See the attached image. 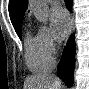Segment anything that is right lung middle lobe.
Listing matches in <instances>:
<instances>
[{
  "mask_svg": "<svg viewBox=\"0 0 89 89\" xmlns=\"http://www.w3.org/2000/svg\"><path fill=\"white\" fill-rule=\"evenodd\" d=\"M21 29H22V26H20V27L16 30V33L18 34L19 38H21Z\"/></svg>",
  "mask_w": 89,
  "mask_h": 89,
  "instance_id": "right-lung-middle-lobe-1",
  "label": "right lung middle lobe"
}]
</instances>
